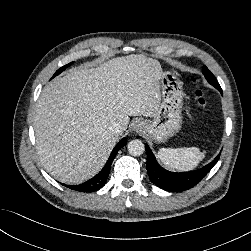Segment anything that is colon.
I'll return each mask as SVG.
<instances>
[{
	"mask_svg": "<svg viewBox=\"0 0 251 251\" xmlns=\"http://www.w3.org/2000/svg\"><path fill=\"white\" fill-rule=\"evenodd\" d=\"M193 80L195 81V78H193ZM195 100L199 108L202 110H204L208 105V97L200 88H197L195 90Z\"/></svg>",
	"mask_w": 251,
	"mask_h": 251,
	"instance_id": "5ec220e1",
	"label": "colon"
}]
</instances>
